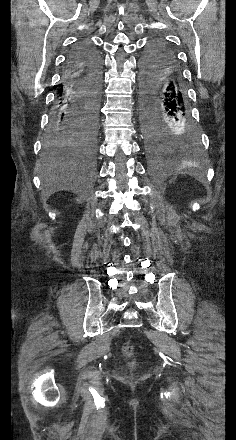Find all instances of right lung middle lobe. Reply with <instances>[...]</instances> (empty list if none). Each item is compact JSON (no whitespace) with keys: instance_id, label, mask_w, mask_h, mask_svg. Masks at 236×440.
<instances>
[{"instance_id":"obj_1","label":"right lung middle lobe","mask_w":236,"mask_h":440,"mask_svg":"<svg viewBox=\"0 0 236 440\" xmlns=\"http://www.w3.org/2000/svg\"><path fill=\"white\" fill-rule=\"evenodd\" d=\"M100 94L101 86L98 83L85 86L82 96L88 102V109L83 126L72 131H51L44 143L45 161L57 163L64 159H72L75 155H80L85 160L93 158Z\"/></svg>"}]
</instances>
